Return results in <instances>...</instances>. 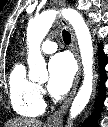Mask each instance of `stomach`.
<instances>
[{
	"label": "stomach",
	"mask_w": 108,
	"mask_h": 127,
	"mask_svg": "<svg viewBox=\"0 0 108 127\" xmlns=\"http://www.w3.org/2000/svg\"><path fill=\"white\" fill-rule=\"evenodd\" d=\"M46 127H58V126H56V125H53V126H51V125H48V126H46Z\"/></svg>",
	"instance_id": "stomach-1"
}]
</instances>
